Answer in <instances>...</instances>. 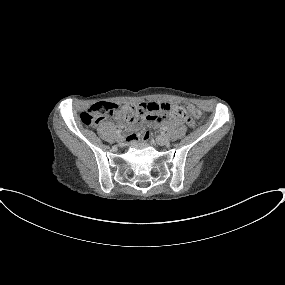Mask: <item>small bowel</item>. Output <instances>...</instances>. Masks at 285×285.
Here are the masks:
<instances>
[{"label": "small bowel", "mask_w": 285, "mask_h": 285, "mask_svg": "<svg viewBox=\"0 0 285 285\" xmlns=\"http://www.w3.org/2000/svg\"><path fill=\"white\" fill-rule=\"evenodd\" d=\"M140 105H144L147 107V109L150 111L148 114L144 115L141 120H137L132 124L128 123H120V126L124 129H129L132 127H137L141 128L143 125L144 120H147L150 124L153 125H162L166 122L169 107L171 103L169 102H156V101H149L146 103H142ZM174 121L177 124L185 123L188 126L192 127L194 125V122L192 119H187V118H174ZM142 135L148 136L147 132L142 131Z\"/></svg>", "instance_id": "obj_1"}]
</instances>
